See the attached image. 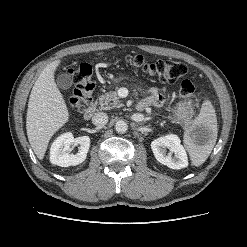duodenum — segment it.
<instances>
[{"label": "duodenum", "mask_w": 247, "mask_h": 247, "mask_svg": "<svg viewBox=\"0 0 247 247\" xmlns=\"http://www.w3.org/2000/svg\"><path fill=\"white\" fill-rule=\"evenodd\" d=\"M145 107H146V105L142 102H140L137 105L138 110H143ZM95 113H96V105H95V103H91L84 112V118L86 120H89L94 116Z\"/></svg>", "instance_id": "obj_1"}]
</instances>
